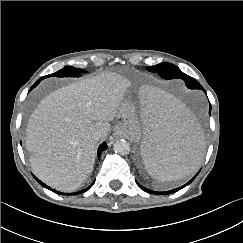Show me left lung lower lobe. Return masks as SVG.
I'll return each mask as SVG.
<instances>
[{
	"label": "left lung lower lobe",
	"mask_w": 243,
	"mask_h": 243,
	"mask_svg": "<svg viewBox=\"0 0 243 243\" xmlns=\"http://www.w3.org/2000/svg\"><path fill=\"white\" fill-rule=\"evenodd\" d=\"M186 86L188 87V88H190V89H201V90H203L204 91V89H203V87L200 85V84H197V85H194V84H191V83H186ZM211 112V106H210V111H209V113ZM199 174V172L187 183V184H185L184 186H182V187H179V188H176V189H173V190H170V191H166V192H156V191H152V190H149V189H147V188H145V187H143V186H141L139 183H138V185H139V187L142 189V190H144V191H146V192H148V193H151V194H171V193H174V192H177L178 190H180V189H182V188H184L185 186H187V185H189L194 179H195V177L197 176Z\"/></svg>",
	"instance_id": "1"
}]
</instances>
